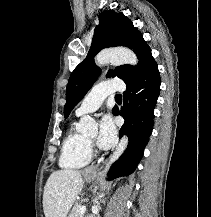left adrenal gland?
I'll list each match as a JSON object with an SVG mask.
<instances>
[{"mask_svg": "<svg viewBox=\"0 0 211 217\" xmlns=\"http://www.w3.org/2000/svg\"><path fill=\"white\" fill-rule=\"evenodd\" d=\"M100 199V197H96L95 199H94V204H98L99 205V200Z\"/></svg>", "mask_w": 211, "mask_h": 217, "instance_id": "a2214340", "label": "left adrenal gland"}]
</instances>
